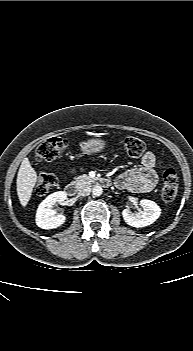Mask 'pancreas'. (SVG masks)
<instances>
[{"label": "pancreas", "mask_w": 193, "mask_h": 351, "mask_svg": "<svg viewBox=\"0 0 193 351\" xmlns=\"http://www.w3.org/2000/svg\"><path fill=\"white\" fill-rule=\"evenodd\" d=\"M93 181H94V179L90 178L86 174H83V175L75 177L76 185H82V184H85V183H91Z\"/></svg>", "instance_id": "1"}]
</instances>
